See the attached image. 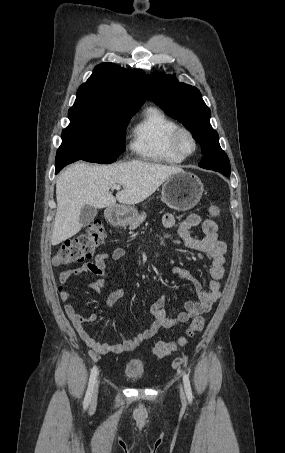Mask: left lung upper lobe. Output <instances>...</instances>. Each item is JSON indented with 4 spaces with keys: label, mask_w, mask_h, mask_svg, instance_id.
Masks as SVG:
<instances>
[{
    "label": "left lung upper lobe",
    "mask_w": 285,
    "mask_h": 453,
    "mask_svg": "<svg viewBox=\"0 0 285 453\" xmlns=\"http://www.w3.org/2000/svg\"><path fill=\"white\" fill-rule=\"evenodd\" d=\"M148 98L164 112L181 122L201 145L203 159L199 166L230 176V162L221 149L217 131L210 124V109L200 91L191 85L178 82L174 76L154 73L150 77Z\"/></svg>",
    "instance_id": "5c2ea615"
}]
</instances>
